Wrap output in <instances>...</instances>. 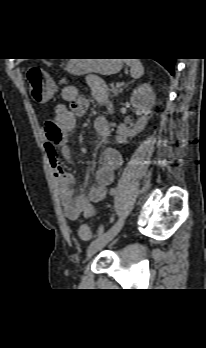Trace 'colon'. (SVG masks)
Listing matches in <instances>:
<instances>
[{
  "label": "colon",
  "mask_w": 206,
  "mask_h": 348,
  "mask_svg": "<svg viewBox=\"0 0 206 348\" xmlns=\"http://www.w3.org/2000/svg\"><path fill=\"white\" fill-rule=\"evenodd\" d=\"M26 80L32 97L36 100L46 99L54 89L51 79L42 68L37 66L30 67L26 71ZM48 123H51V120L46 121L45 126ZM78 236L84 241H89L92 238L91 228L87 224H81L78 227Z\"/></svg>",
  "instance_id": "1"
}]
</instances>
